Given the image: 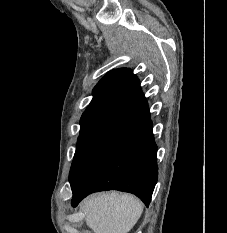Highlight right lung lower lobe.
Here are the masks:
<instances>
[{"mask_svg": "<svg viewBox=\"0 0 227 233\" xmlns=\"http://www.w3.org/2000/svg\"><path fill=\"white\" fill-rule=\"evenodd\" d=\"M157 178V146L149 119L119 136L101 153L72 188L71 205L76 207L93 192L119 190L135 194L148 206Z\"/></svg>", "mask_w": 227, "mask_h": 233, "instance_id": "obj_1", "label": "right lung lower lobe"}]
</instances>
